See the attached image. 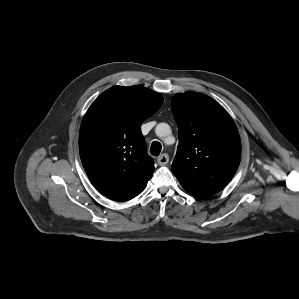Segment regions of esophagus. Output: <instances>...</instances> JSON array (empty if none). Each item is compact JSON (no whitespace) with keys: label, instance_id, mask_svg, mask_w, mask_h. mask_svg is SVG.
<instances>
[{"label":"esophagus","instance_id":"esophagus-1","mask_svg":"<svg viewBox=\"0 0 299 299\" xmlns=\"http://www.w3.org/2000/svg\"><path fill=\"white\" fill-rule=\"evenodd\" d=\"M157 162L161 166L166 165L169 162V156L167 154H162L157 158Z\"/></svg>","mask_w":299,"mask_h":299}]
</instances>
